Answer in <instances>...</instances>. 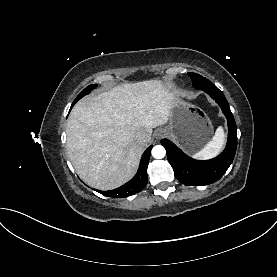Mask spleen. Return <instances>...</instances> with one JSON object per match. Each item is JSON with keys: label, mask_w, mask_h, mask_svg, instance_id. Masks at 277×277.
<instances>
[{"label": "spleen", "mask_w": 277, "mask_h": 277, "mask_svg": "<svg viewBox=\"0 0 277 277\" xmlns=\"http://www.w3.org/2000/svg\"><path fill=\"white\" fill-rule=\"evenodd\" d=\"M225 142V134L222 127H218L212 140L209 141L203 149L195 153V159H208L217 155L222 149Z\"/></svg>", "instance_id": "3e777b00"}]
</instances>
